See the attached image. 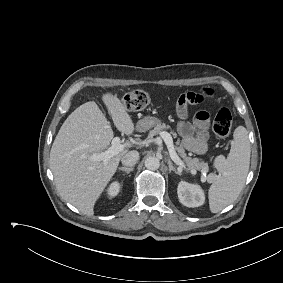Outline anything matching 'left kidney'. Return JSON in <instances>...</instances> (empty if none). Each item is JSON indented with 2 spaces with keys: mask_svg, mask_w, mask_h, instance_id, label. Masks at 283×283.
I'll list each match as a JSON object with an SVG mask.
<instances>
[{
  "mask_svg": "<svg viewBox=\"0 0 283 283\" xmlns=\"http://www.w3.org/2000/svg\"><path fill=\"white\" fill-rule=\"evenodd\" d=\"M179 201L187 207H199L204 204L205 195L202 188L196 184L181 181L177 188Z\"/></svg>",
  "mask_w": 283,
  "mask_h": 283,
  "instance_id": "obj_1",
  "label": "left kidney"
}]
</instances>
